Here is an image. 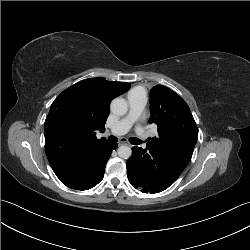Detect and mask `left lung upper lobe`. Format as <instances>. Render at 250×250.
Segmentation results:
<instances>
[{"mask_svg": "<svg viewBox=\"0 0 250 250\" xmlns=\"http://www.w3.org/2000/svg\"><path fill=\"white\" fill-rule=\"evenodd\" d=\"M149 123H156L158 136L149 139V144L160 148L173 144L176 154L191 158L198 139V128L186 102L171 89L157 85L150 92Z\"/></svg>", "mask_w": 250, "mask_h": 250, "instance_id": "left-lung-upper-lobe-1", "label": "left lung upper lobe"}]
</instances>
